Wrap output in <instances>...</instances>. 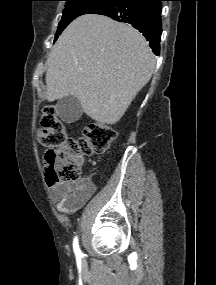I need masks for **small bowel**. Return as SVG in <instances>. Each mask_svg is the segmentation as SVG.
Returning <instances> with one entry per match:
<instances>
[{"label":"small bowel","mask_w":216,"mask_h":285,"mask_svg":"<svg viewBox=\"0 0 216 285\" xmlns=\"http://www.w3.org/2000/svg\"><path fill=\"white\" fill-rule=\"evenodd\" d=\"M82 163V159H79ZM51 195L57 207L64 213H74L83 207L95 192V185L88 179L77 184L58 183L51 185Z\"/></svg>","instance_id":"c3829d8e"}]
</instances>
